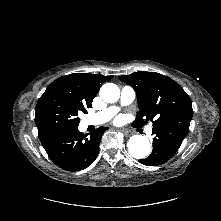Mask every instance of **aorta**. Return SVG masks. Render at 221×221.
I'll use <instances>...</instances> for the list:
<instances>
[{"label":"aorta","mask_w":221,"mask_h":221,"mask_svg":"<svg viewBox=\"0 0 221 221\" xmlns=\"http://www.w3.org/2000/svg\"><path fill=\"white\" fill-rule=\"evenodd\" d=\"M99 93L101 99L106 103H114L120 97V89L113 83L102 85ZM127 147L130 155L136 159L146 158L151 152L149 139L142 135L130 137Z\"/></svg>","instance_id":"762f6f07"}]
</instances>
